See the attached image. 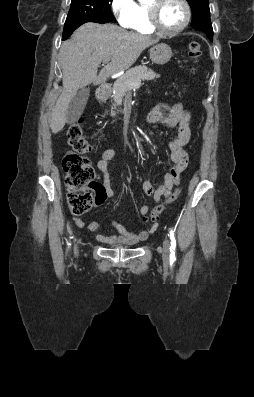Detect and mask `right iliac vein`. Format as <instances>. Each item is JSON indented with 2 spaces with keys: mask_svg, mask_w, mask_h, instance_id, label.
I'll use <instances>...</instances> for the list:
<instances>
[{
  "mask_svg": "<svg viewBox=\"0 0 254 397\" xmlns=\"http://www.w3.org/2000/svg\"><path fill=\"white\" fill-rule=\"evenodd\" d=\"M75 252H76V253L78 252V250H77V246H75Z\"/></svg>",
  "mask_w": 254,
  "mask_h": 397,
  "instance_id": "obj_1",
  "label": "right iliac vein"
}]
</instances>
